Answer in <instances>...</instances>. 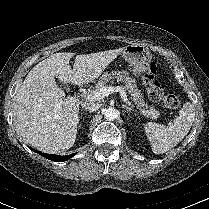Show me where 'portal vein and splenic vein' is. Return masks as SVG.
Returning <instances> with one entry per match:
<instances>
[{"mask_svg": "<svg viewBox=\"0 0 209 209\" xmlns=\"http://www.w3.org/2000/svg\"><path fill=\"white\" fill-rule=\"evenodd\" d=\"M113 92H119L121 95L122 100L128 104V105H132L131 102L128 100L126 92L124 90V88L117 86V87H102L100 90L94 92L93 94H89L87 95L86 99L90 100V101H98L100 99L105 98L106 96H108L110 93ZM133 106V105H132ZM146 113L148 114H152V112L145 110Z\"/></svg>", "mask_w": 209, "mask_h": 209, "instance_id": "18ae733b", "label": "portal vein and splenic vein"}]
</instances>
